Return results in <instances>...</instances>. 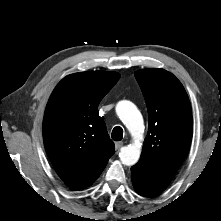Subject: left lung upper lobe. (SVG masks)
<instances>
[{
	"label": "left lung upper lobe",
	"mask_w": 221,
	"mask_h": 221,
	"mask_svg": "<svg viewBox=\"0 0 221 221\" xmlns=\"http://www.w3.org/2000/svg\"><path fill=\"white\" fill-rule=\"evenodd\" d=\"M135 77L149 118L139 163L171 179L183 163L192 139L188 95L180 81L164 69H142Z\"/></svg>",
	"instance_id": "left-lung-upper-lobe-1"
}]
</instances>
